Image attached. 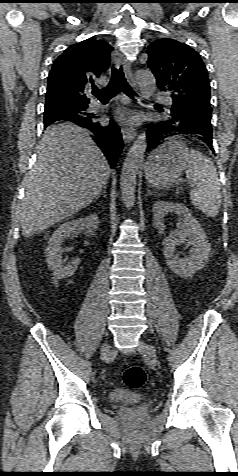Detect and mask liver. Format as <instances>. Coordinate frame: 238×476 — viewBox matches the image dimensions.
I'll return each instance as SVG.
<instances>
[{"label": "liver", "instance_id": "obj_1", "mask_svg": "<svg viewBox=\"0 0 238 476\" xmlns=\"http://www.w3.org/2000/svg\"><path fill=\"white\" fill-rule=\"evenodd\" d=\"M109 176V163L88 131L72 123L48 127L24 181L22 235L30 237L87 207Z\"/></svg>", "mask_w": 238, "mask_h": 476}]
</instances>
